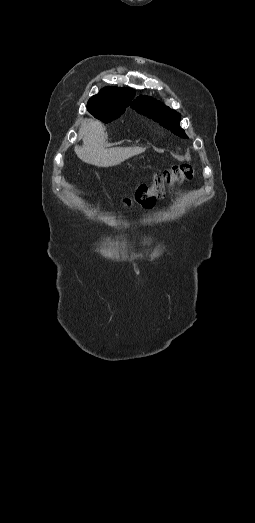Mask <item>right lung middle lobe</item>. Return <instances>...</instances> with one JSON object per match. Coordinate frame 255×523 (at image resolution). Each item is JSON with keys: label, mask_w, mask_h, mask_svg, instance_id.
Instances as JSON below:
<instances>
[{"label": "right lung middle lobe", "mask_w": 255, "mask_h": 523, "mask_svg": "<svg viewBox=\"0 0 255 523\" xmlns=\"http://www.w3.org/2000/svg\"><path fill=\"white\" fill-rule=\"evenodd\" d=\"M131 102H118L108 104H98L87 107L88 111L97 119L108 123L118 118L129 106Z\"/></svg>", "instance_id": "obj_1"}]
</instances>
